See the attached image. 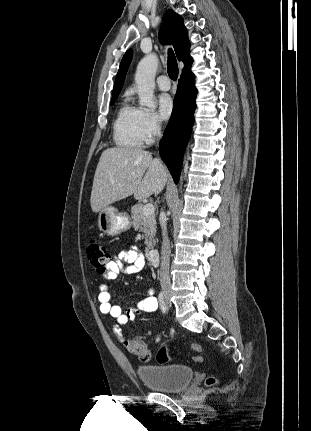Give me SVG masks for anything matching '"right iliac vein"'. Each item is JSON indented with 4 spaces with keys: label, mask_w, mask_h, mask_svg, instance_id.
I'll return each instance as SVG.
<instances>
[{
    "label": "right iliac vein",
    "mask_w": 311,
    "mask_h": 431,
    "mask_svg": "<svg viewBox=\"0 0 311 431\" xmlns=\"http://www.w3.org/2000/svg\"><path fill=\"white\" fill-rule=\"evenodd\" d=\"M165 297L168 298V294L167 293L165 294Z\"/></svg>",
    "instance_id": "right-iliac-vein-1"
}]
</instances>
